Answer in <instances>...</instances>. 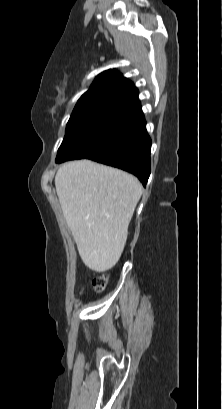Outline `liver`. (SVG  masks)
<instances>
[{"mask_svg": "<svg viewBox=\"0 0 222 409\" xmlns=\"http://www.w3.org/2000/svg\"><path fill=\"white\" fill-rule=\"evenodd\" d=\"M55 187L83 263L96 272L114 267L142 195L139 180L83 159L63 164L56 173Z\"/></svg>", "mask_w": 222, "mask_h": 409, "instance_id": "1", "label": "liver"}]
</instances>
